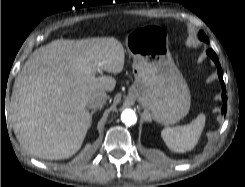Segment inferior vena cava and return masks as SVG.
I'll list each match as a JSON object with an SVG mask.
<instances>
[{"mask_svg":"<svg viewBox=\"0 0 245 187\" xmlns=\"http://www.w3.org/2000/svg\"><path fill=\"white\" fill-rule=\"evenodd\" d=\"M107 100V94L105 91H97L92 93L87 99V106L89 108H100Z\"/></svg>","mask_w":245,"mask_h":187,"instance_id":"obj_1","label":"inferior vena cava"}]
</instances>
